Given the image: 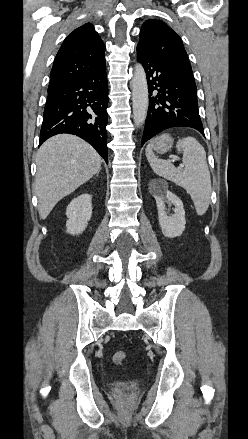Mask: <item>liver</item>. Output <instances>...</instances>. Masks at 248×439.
Instances as JSON below:
<instances>
[{
	"label": "liver",
	"instance_id": "liver-1",
	"mask_svg": "<svg viewBox=\"0 0 248 439\" xmlns=\"http://www.w3.org/2000/svg\"><path fill=\"white\" fill-rule=\"evenodd\" d=\"M101 163L96 150L77 136L60 134L45 141L36 155L40 218L46 219L62 198L99 172Z\"/></svg>",
	"mask_w": 248,
	"mask_h": 439
}]
</instances>
